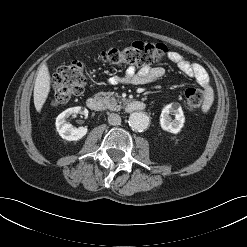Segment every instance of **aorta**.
<instances>
[{
	"mask_svg": "<svg viewBox=\"0 0 247 247\" xmlns=\"http://www.w3.org/2000/svg\"><path fill=\"white\" fill-rule=\"evenodd\" d=\"M129 125L135 131H143L149 125V117L142 112H134L129 117Z\"/></svg>",
	"mask_w": 247,
	"mask_h": 247,
	"instance_id": "762f6f07",
	"label": "aorta"
}]
</instances>
